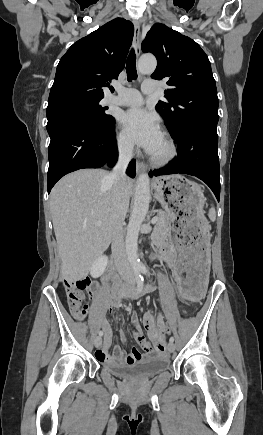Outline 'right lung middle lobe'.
I'll use <instances>...</instances> for the list:
<instances>
[{
    "label": "right lung middle lobe",
    "instance_id": "1",
    "mask_svg": "<svg viewBox=\"0 0 263 435\" xmlns=\"http://www.w3.org/2000/svg\"><path fill=\"white\" fill-rule=\"evenodd\" d=\"M101 99L70 100L47 107V130L63 121H82L98 128H107L114 117L105 113Z\"/></svg>",
    "mask_w": 263,
    "mask_h": 435
}]
</instances>
